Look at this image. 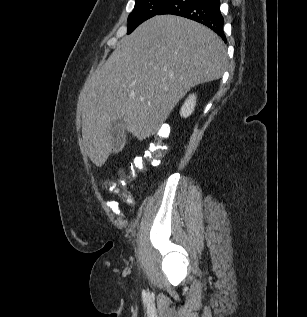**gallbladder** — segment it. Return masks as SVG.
Segmentation results:
<instances>
[{"instance_id":"gallbladder-1","label":"gallbladder","mask_w":307,"mask_h":317,"mask_svg":"<svg viewBox=\"0 0 307 317\" xmlns=\"http://www.w3.org/2000/svg\"><path fill=\"white\" fill-rule=\"evenodd\" d=\"M110 141L113 153L122 150L126 142L125 122L124 119H118L113 122L110 130Z\"/></svg>"}]
</instances>
